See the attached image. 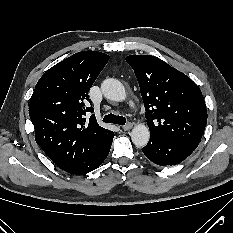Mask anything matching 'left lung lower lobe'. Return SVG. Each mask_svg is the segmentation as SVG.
Segmentation results:
<instances>
[{
    "mask_svg": "<svg viewBox=\"0 0 233 233\" xmlns=\"http://www.w3.org/2000/svg\"><path fill=\"white\" fill-rule=\"evenodd\" d=\"M195 148L179 142L151 136L149 143L142 148L145 156L160 166L175 165L186 159Z\"/></svg>",
    "mask_w": 233,
    "mask_h": 233,
    "instance_id": "obj_1",
    "label": "left lung lower lobe"
}]
</instances>
